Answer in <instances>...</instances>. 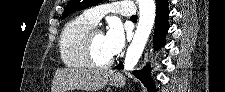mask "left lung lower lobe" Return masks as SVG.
Returning <instances> with one entry per match:
<instances>
[{"mask_svg":"<svg viewBox=\"0 0 225 92\" xmlns=\"http://www.w3.org/2000/svg\"><path fill=\"white\" fill-rule=\"evenodd\" d=\"M168 0H156V25L154 44L161 46L164 43L165 33L168 31ZM114 69H123V64L119 63ZM137 78H139L144 85L151 92H156L154 82L150 77V67L146 66L142 70H136L133 72Z\"/></svg>","mask_w":225,"mask_h":92,"instance_id":"1","label":"left lung lower lobe"}]
</instances>
